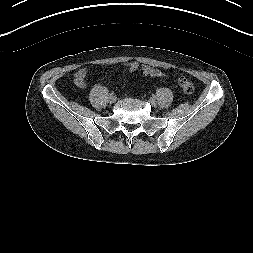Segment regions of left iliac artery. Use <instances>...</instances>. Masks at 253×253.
I'll return each mask as SVG.
<instances>
[{
    "label": "left iliac artery",
    "mask_w": 253,
    "mask_h": 253,
    "mask_svg": "<svg viewBox=\"0 0 253 253\" xmlns=\"http://www.w3.org/2000/svg\"><path fill=\"white\" fill-rule=\"evenodd\" d=\"M150 98H151L152 100H155V99L158 98V95L155 94V93H152V94L150 95Z\"/></svg>",
    "instance_id": "44dca946"
}]
</instances>
